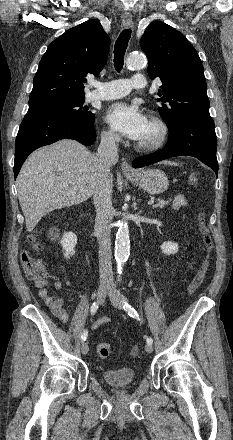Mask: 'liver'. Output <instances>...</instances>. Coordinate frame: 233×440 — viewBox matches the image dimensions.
<instances>
[{"label": "liver", "mask_w": 233, "mask_h": 440, "mask_svg": "<svg viewBox=\"0 0 233 440\" xmlns=\"http://www.w3.org/2000/svg\"><path fill=\"white\" fill-rule=\"evenodd\" d=\"M100 176L98 158L75 140L64 139L34 151L17 177L27 231H33L47 213L89 199Z\"/></svg>", "instance_id": "obj_1"}]
</instances>
